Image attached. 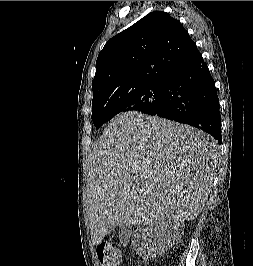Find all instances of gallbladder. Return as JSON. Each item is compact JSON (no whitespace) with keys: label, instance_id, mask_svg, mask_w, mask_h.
<instances>
[{"label":"gallbladder","instance_id":"bac80fb5","mask_svg":"<svg viewBox=\"0 0 253 266\" xmlns=\"http://www.w3.org/2000/svg\"><path fill=\"white\" fill-rule=\"evenodd\" d=\"M130 226L122 224L120 225V233H122L124 230H129ZM121 237V235H119Z\"/></svg>","mask_w":253,"mask_h":266}]
</instances>
